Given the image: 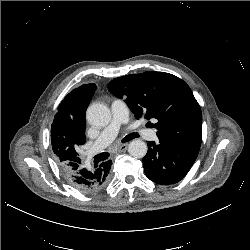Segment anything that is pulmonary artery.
<instances>
[{"label": "pulmonary artery", "instance_id": "1", "mask_svg": "<svg viewBox=\"0 0 250 250\" xmlns=\"http://www.w3.org/2000/svg\"><path fill=\"white\" fill-rule=\"evenodd\" d=\"M111 112V122L103 129L86 153L88 159L106 148L116 138L121 127L128 123V109L122 100L116 99L112 102ZM141 134L148 140L156 139V131L154 129H142Z\"/></svg>", "mask_w": 250, "mask_h": 250}]
</instances>
